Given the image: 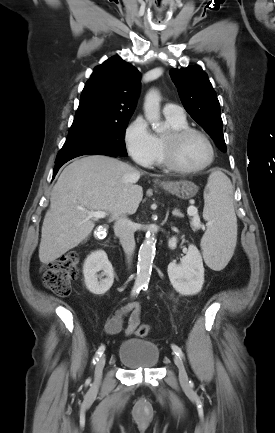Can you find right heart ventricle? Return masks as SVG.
<instances>
[{"label":"right heart ventricle","mask_w":275,"mask_h":433,"mask_svg":"<svg viewBox=\"0 0 275 433\" xmlns=\"http://www.w3.org/2000/svg\"><path fill=\"white\" fill-rule=\"evenodd\" d=\"M166 121L171 130L188 127L186 118L176 119V118L166 117ZM156 141L158 146V153H157L155 163L157 165H164L165 162H164V153H163V137L157 136Z\"/></svg>","instance_id":"right-heart-ventricle-1"}]
</instances>
